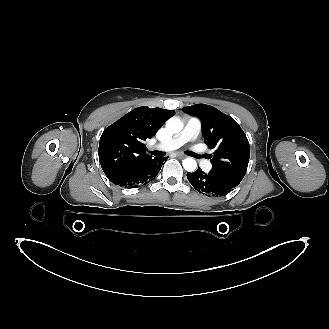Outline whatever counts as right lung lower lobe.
<instances>
[{"instance_id":"obj_1","label":"right lung lower lobe","mask_w":329,"mask_h":329,"mask_svg":"<svg viewBox=\"0 0 329 329\" xmlns=\"http://www.w3.org/2000/svg\"><path fill=\"white\" fill-rule=\"evenodd\" d=\"M163 158H151L143 161L133 169L108 179L115 185L125 188H134L153 180L161 169Z\"/></svg>"}]
</instances>
